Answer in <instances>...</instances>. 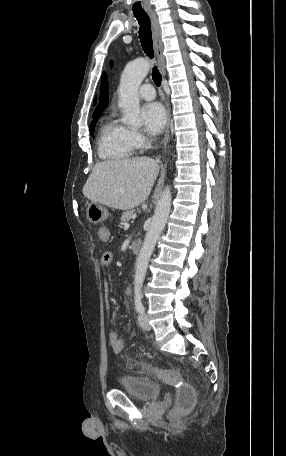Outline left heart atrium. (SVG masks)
Returning <instances> with one entry per match:
<instances>
[{
  "mask_svg": "<svg viewBox=\"0 0 286 456\" xmlns=\"http://www.w3.org/2000/svg\"><path fill=\"white\" fill-rule=\"evenodd\" d=\"M142 118L147 131L151 134H159L166 123V112L161 104L152 102L142 109Z\"/></svg>",
  "mask_w": 286,
  "mask_h": 456,
  "instance_id": "obj_1",
  "label": "left heart atrium"
}]
</instances>
